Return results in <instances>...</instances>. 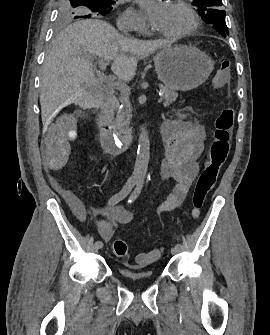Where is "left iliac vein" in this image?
Wrapping results in <instances>:
<instances>
[{
  "label": "left iliac vein",
  "mask_w": 270,
  "mask_h": 335,
  "mask_svg": "<svg viewBox=\"0 0 270 335\" xmlns=\"http://www.w3.org/2000/svg\"><path fill=\"white\" fill-rule=\"evenodd\" d=\"M179 252V249H177L176 247H172L171 248V253L174 255V254H177Z\"/></svg>",
  "instance_id": "4c4485c4"
}]
</instances>
